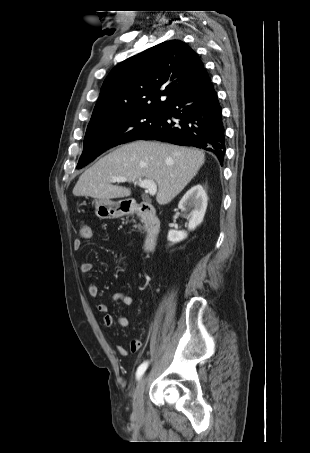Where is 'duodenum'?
Listing matches in <instances>:
<instances>
[{"mask_svg":"<svg viewBox=\"0 0 310 453\" xmlns=\"http://www.w3.org/2000/svg\"><path fill=\"white\" fill-rule=\"evenodd\" d=\"M125 215L134 214L144 224L146 236L143 248L152 251L160 233V219L155 208L150 203H141L138 206H131L123 210Z\"/></svg>","mask_w":310,"mask_h":453,"instance_id":"obj_1","label":"duodenum"}]
</instances>
